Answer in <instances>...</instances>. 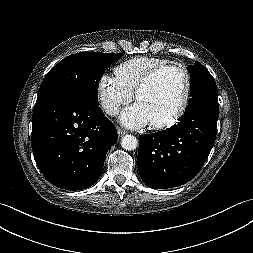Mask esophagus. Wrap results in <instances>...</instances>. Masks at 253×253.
Wrapping results in <instances>:
<instances>
[{
	"instance_id": "34e87169",
	"label": "esophagus",
	"mask_w": 253,
	"mask_h": 253,
	"mask_svg": "<svg viewBox=\"0 0 253 253\" xmlns=\"http://www.w3.org/2000/svg\"><path fill=\"white\" fill-rule=\"evenodd\" d=\"M117 133H118V136H123L126 132L123 130V129H121V128H117Z\"/></svg>"
}]
</instances>
